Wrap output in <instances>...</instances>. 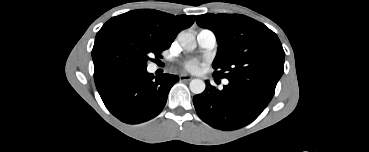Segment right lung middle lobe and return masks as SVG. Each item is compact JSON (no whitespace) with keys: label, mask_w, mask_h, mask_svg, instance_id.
Returning a JSON list of instances; mask_svg holds the SVG:
<instances>
[{"label":"right lung middle lobe","mask_w":369,"mask_h":152,"mask_svg":"<svg viewBox=\"0 0 369 152\" xmlns=\"http://www.w3.org/2000/svg\"><path fill=\"white\" fill-rule=\"evenodd\" d=\"M163 50L165 48L134 29L103 25L92 50L94 77L121 67L146 68L150 56L159 57Z\"/></svg>","instance_id":"dd1d6c3e"}]
</instances>
